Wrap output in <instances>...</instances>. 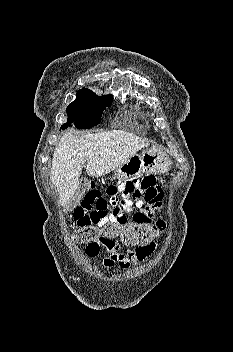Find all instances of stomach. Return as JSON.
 <instances>
[{
  "label": "stomach",
  "instance_id": "stomach-1",
  "mask_svg": "<svg viewBox=\"0 0 233 352\" xmlns=\"http://www.w3.org/2000/svg\"><path fill=\"white\" fill-rule=\"evenodd\" d=\"M170 166L171 160L165 152L150 147L119 166L114 172V178L130 180L143 174H161L168 171Z\"/></svg>",
  "mask_w": 233,
  "mask_h": 352
}]
</instances>
